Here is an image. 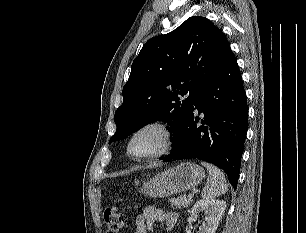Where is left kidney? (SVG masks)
Masks as SVG:
<instances>
[{
    "label": "left kidney",
    "mask_w": 306,
    "mask_h": 233,
    "mask_svg": "<svg viewBox=\"0 0 306 233\" xmlns=\"http://www.w3.org/2000/svg\"><path fill=\"white\" fill-rule=\"evenodd\" d=\"M225 209L226 202L223 200H199L194 204L188 222L195 221L198 214L204 212L206 217L197 233H215Z\"/></svg>",
    "instance_id": "left-kidney-1"
}]
</instances>
